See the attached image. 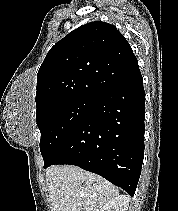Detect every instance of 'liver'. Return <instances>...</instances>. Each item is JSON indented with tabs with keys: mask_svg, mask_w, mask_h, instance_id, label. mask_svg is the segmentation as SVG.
Returning a JSON list of instances; mask_svg holds the SVG:
<instances>
[{
	"mask_svg": "<svg viewBox=\"0 0 178 211\" xmlns=\"http://www.w3.org/2000/svg\"><path fill=\"white\" fill-rule=\"evenodd\" d=\"M51 211H100L119 195L109 181L76 166H51L46 170Z\"/></svg>",
	"mask_w": 178,
	"mask_h": 211,
	"instance_id": "obj_1",
	"label": "liver"
}]
</instances>
